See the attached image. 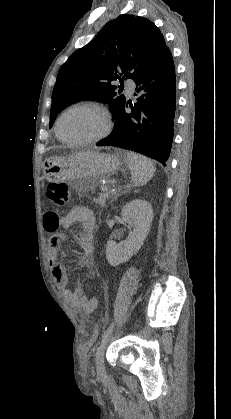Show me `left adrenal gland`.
Returning a JSON list of instances; mask_svg holds the SVG:
<instances>
[{
	"label": "left adrenal gland",
	"mask_w": 231,
	"mask_h": 419,
	"mask_svg": "<svg viewBox=\"0 0 231 419\" xmlns=\"http://www.w3.org/2000/svg\"><path fill=\"white\" fill-rule=\"evenodd\" d=\"M128 191H129L128 187H125L124 190L123 191L120 190V192L118 194H116L113 199H116L118 196H120L121 194L126 193Z\"/></svg>",
	"instance_id": "a2214340"
}]
</instances>
